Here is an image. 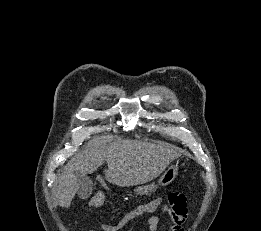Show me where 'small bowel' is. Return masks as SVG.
<instances>
[{
  "mask_svg": "<svg viewBox=\"0 0 261 231\" xmlns=\"http://www.w3.org/2000/svg\"><path fill=\"white\" fill-rule=\"evenodd\" d=\"M101 201H102L101 196L90 197L87 200V207L89 209H96L100 206ZM145 208H146V205H139L131 213H129L128 215L121 218L116 224H113V225L102 224V225H100V228L103 231H119L131 219L146 214L147 215L146 222H147L149 231H159L160 219H159L158 215L155 213V210H153L149 213H145ZM162 211L170 217L171 222H172V225H171L172 231H184L182 228V225L184 223L183 219H181L180 217H178V216L174 215L172 212H170L166 206H164L162 208ZM89 231H94V230H89ZM187 231H189V230H187Z\"/></svg>",
  "mask_w": 261,
  "mask_h": 231,
  "instance_id": "c3829d8e",
  "label": "small bowel"
}]
</instances>
